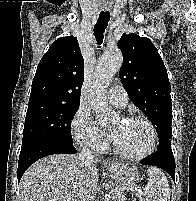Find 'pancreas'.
<instances>
[{
  "label": "pancreas",
  "instance_id": "pancreas-1",
  "mask_svg": "<svg viewBox=\"0 0 196 201\" xmlns=\"http://www.w3.org/2000/svg\"><path fill=\"white\" fill-rule=\"evenodd\" d=\"M116 201H126L125 196H124V195H121L120 197H118V198L116 199Z\"/></svg>",
  "mask_w": 196,
  "mask_h": 201
}]
</instances>
